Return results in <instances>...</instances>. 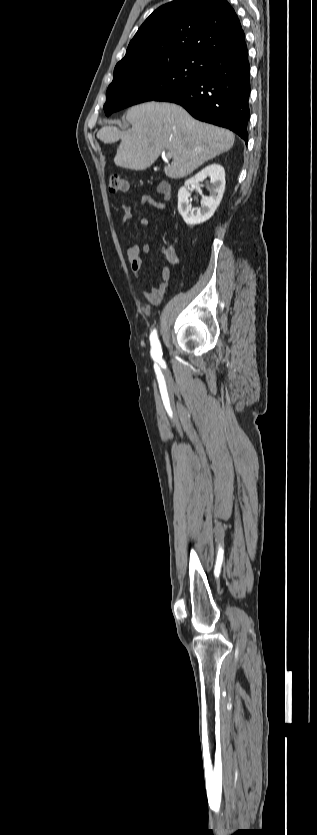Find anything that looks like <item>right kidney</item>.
<instances>
[{"label": "right kidney", "mask_w": 317, "mask_h": 835, "mask_svg": "<svg viewBox=\"0 0 317 835\" xmlns=\"http://www.w3.org/2000/svg\"><path fill=\"white\" fill-rule=\"evenodd\" d=\"M210 178V195H202L201 208L194 209L189 204V188L197 187L200 181ZM225 190V171L217 163H212L195 176L188 179L178 191V211L186 224L195 225L209 220L218 208Z\"/></svg>", "instance_id": "obj_1"}]
</instances>
